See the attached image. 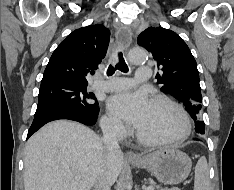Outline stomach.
I'll return each instance as SVG.
<instances>
[{
  "label": "stomach",
  "mask_w": 234,
  "mask_h": 190,
  "mask_svg": "<svg viewBox=\"0 0 234 190\" xmlns=\"http://www.w3.org/2000/svg\"><path fill=\"white\" fill-rule=\"evenodd\" d=\"M130 162L137 167L147 168L159 182L171 185L184 181L192 167L187 154L171 147L158 149L138 161Z\"/></svg>",
  "instance_id": "stomach-1"
}]
</instances>
